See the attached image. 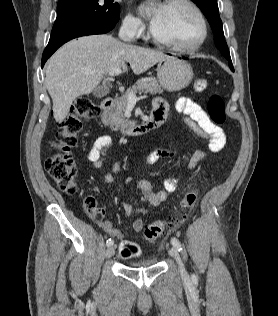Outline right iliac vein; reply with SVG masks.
I'll return each instance as SVG.
<instances>
[{
    "instance_id": "right-iliac-vein-1",
    "label": "right iliac vein",
    "mask_w": 278,
    "mask_h": 316,
    "mask_svg": "<svg viewBox=\"0 0 278 316\" xmlns=\"http://www.w3.org/2000/svg\"><path fill=\"white\" fill-rule=\"evenodd\" d=\"M115 253L114 247L113 246H109L106 250V257L107 258H111Z\"/></svg>"
}]
</instances>
